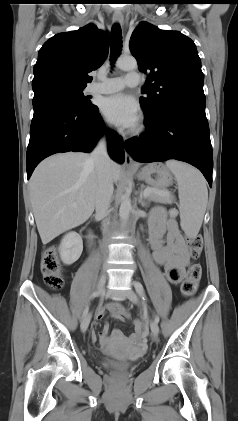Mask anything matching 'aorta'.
Returning <instances> with one entry per match:
<instances>
[{
    "label": "aorta",
    "mask_w": 238,
    "mask_h": 421,
    "mask_svg": "<svg viewBox=\"0 0 238 421\" xmlns=\"http://www.w3.org/2000/svg\"><path fill=\"white\" fill-rule=\"evenodd\" d=\"M116 66L124 71L134 70L138 67L137 61L133 57L119 58L116 61ZM131 209V199L129 196V189L127 188L125 194L122 196V202L119 209V216L123 224L128 220Z\"/></svg>",
    "instance_id": "1"
}]
</instances>
